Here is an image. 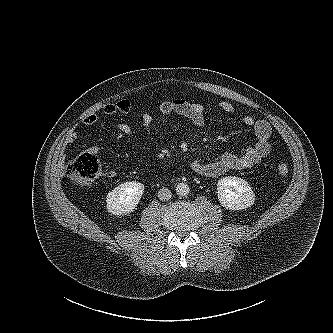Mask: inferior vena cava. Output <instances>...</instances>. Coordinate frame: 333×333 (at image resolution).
I'll return each instance as SVG.
<instances>
[{
    "label": "inferior vena cava",
    "instance_id": "inferior-vena-cava-1",
    "mask_svg": "<svg viewBox=\"0 0 333 333\" xmlns=\"http://www.w3.org/2000/svg\"><path fill=\"white\" fill-rule=\"evenodd\" d=\"M172 196V193L169 189L167 188H162L158 191V198L161 200V201H167L171 198Z\"/></svg>",
    "mask_w": 333,
    "mask_h": 333
}]
</instances>
